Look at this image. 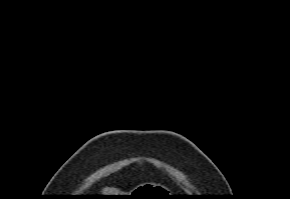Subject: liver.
<instances>
[{"label": "liver", "mask_w": 290, "mask_h": 199, "mask_svg": "<svg viewBox=\"0 0 290 199\" xmlns=\"http://www.w3.org/2000/svg\"><path fill=\"white\" fill-rule=\"evenodd\" d=\"M104 193H115L113 189H105Z\"/></svg>", "instance_id": "liver-1"}]
</instances>
